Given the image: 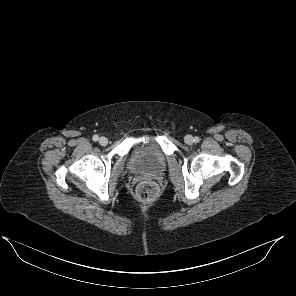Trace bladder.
<instances>
[{"instance_id":"bladder-1","label":"bladder","mask_w":296,"mask_h":296,"mask_svg":"<svg viewBox=\"0 0 296 296\" xmlns=\"http://www.w3.org/2000/svg\"><path fill=\"white\" fill-rule=\"evenodd\" d=\"M127 165L138 174H159L166 169L167 161L158 143L149 140L135 145L128 156Z\"/></svg>"}]
</instances>
